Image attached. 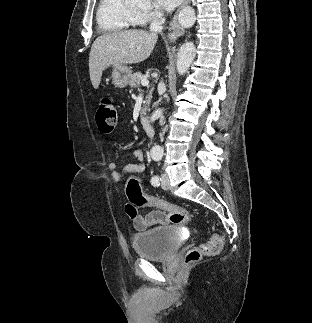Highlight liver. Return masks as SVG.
<instances>
[{
	"mask_svg": "<svg viewBox=\"0 0 312 323\" xmlns=\"http://www.w3.org/2000/svg\"><path fill=\"white\" fill-rule=\"evenodd\" d=\"M158 40L156 32L144 30H119L96 38L89 54V74L97 90L102 72L109 66L139 64L149 58Z\"/></svg>",
	"mask_w": 312,
	"mask_h": 323,
	"instance_id": "liver-1",
	"label": "liver"
}]
</instances>
